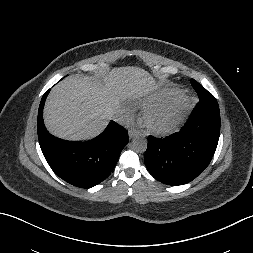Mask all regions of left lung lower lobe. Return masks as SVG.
<instances>
[{
    "instance_id": "0a47b994",
    "label": "left lung lower lobe",
    "mask_w": 253,
    "mask_h": 253,
    "mask_svg": "<svg viewBox=\"0 0 253 253\" xmlns=\"http://www.w3.org/2000/svg\"><path fill=\"white\" fill-rule=\"evenodd\" d=\"M192 86L200 101L180 131L164 139L148 137L145 165L155 179L168 185H183L201 174L219 140L218 103L205 100L198 82Z\"/></svg>"
}]
</instances>
